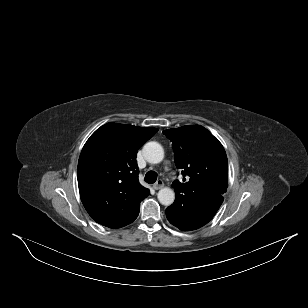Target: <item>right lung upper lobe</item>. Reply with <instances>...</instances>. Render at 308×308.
<instances>
[{
  "label": "right lung upper lobe",
  "mask_w": 308,
  "mask_h": 308,
  "mask_svg": "<svg viewBox=\"0 0 308 308\" xmlns=\"http://www.w3.org/2000/svg\"><path fill=\"white\" fill-rule=\"evenodd\" d=\"M156 128L107 123L85 143L79 157L77 179L82 203L99 224L120 228L138 216L149 190L138 181V149Z\"/></svg>",
  "instance_id": "cb5924a9"
}]
</instances>
